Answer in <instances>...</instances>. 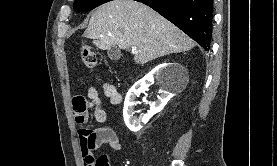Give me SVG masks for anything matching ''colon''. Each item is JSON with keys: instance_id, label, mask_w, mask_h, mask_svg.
I'll use <instances>...</instances> for the list:
<instances>
[{"instance_id": "5ec220e1", "label": "colon", "mask_w": 277, "mask_h": 166, "mask_svg": "<svg viewBox=\"0 0 277 166\" xmlns=\"http://www.w3.org/2000/svg\"><path fill=\"white\" fill-rule=\"evenodd\" d=\"M81 58L84 65L87 68L92 69L96 66V63H97L96 55L88 46H82ZM100 165H101V161L97 160L96 166H100Z\"/></svg>"}]
</instances>
